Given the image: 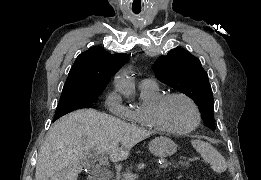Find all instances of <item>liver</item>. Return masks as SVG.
I'll list each match as a JSON object with an SVG mask.
<instances>
[{"instance_id":"6515ba94","label":"liver","mask_w":261,"mask_h":180,"mask_svg":"<svg viewBox=\"0 0 261 180\" xmlns=\"http://www.w3.org/2000/svg\"><path fill=\"white\" fill-rule=\"evenodd\" d=\"M151 134L97 110H77L51 126L39 150L35 180H77L83 158L92 160L87 152H107L111 162H121Z\"/></svg>"}]
</instances>
